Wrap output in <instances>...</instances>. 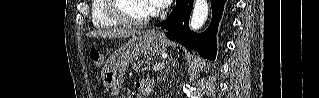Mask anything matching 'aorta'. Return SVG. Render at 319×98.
I'll return each mask as SVG.
<instances>
[{
    "mask_svg": "<svg viewBox=\"0 0 319 98\" xmlns=\"http://www.w3.org/2000/svg\"><path fill=\"white\" fill-rule=\"evenodd\" d=\"M208 2L207 0H195L193 13L190 19V28L192 30L200 29L208 17Z\"/></svg>",
    "mask_w": 319,
    "mask_h": 98,
    "instance_id": "obj_1",
    "label": "aorta"
}]
</instances>
